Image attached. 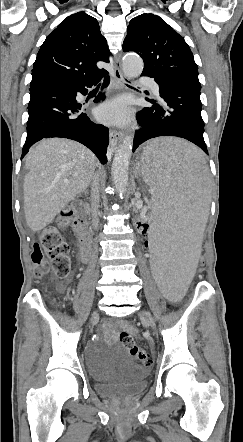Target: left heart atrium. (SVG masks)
Wrapping results in <instances>:
<instances>
[{
	"instance_id": "obj_1",
	"label": "left heart atrium",
	"mask_w": 243,
	"mask_h": 442,
	"mask_svg": "<svg viewBox=\"0 0 243 442\" xmlns=\"http://www.w3.org/2000/svg\"><path fill=\"white\" fill-rule=\"evenodd\" d=\"M97 116L103 122L121 125L130 119L131 109L125 98L118 97L101 104Z\"/></svg>"
}]
</instances>
